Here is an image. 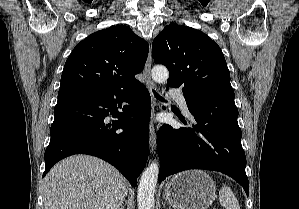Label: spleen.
<instances>
[{
	"instance_id": "1",
	"label": "spleen",
	"mask_w": 299,
	"mask_h": 209,
	"mask_svg": "<svg viewBox=\"0 0 299 209\" xmlns=\"http://www.w3.org/2000/svg\"><path fill=\"white\" fill-rule=\"evenodd\" d=\"M219 201L225 209H240L238 201L230 187L223 184L219 191Z\"/></svg>"
}]
</instances>
